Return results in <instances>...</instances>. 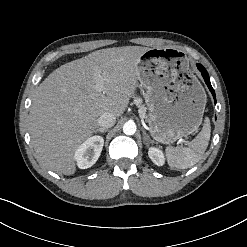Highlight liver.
I'll return each instance as SVG.
<instances>
[{
  "label": "liver",
  "mask_w": 247,
  "mask_h": 247,
  "mask_svg": "<svg viewBox=\"0 0 247 247\" xmlns=\"http://www.w3.org/2000/svg\"><path fill=\"white\" fill-rule=\"evenodd\" d=\"M148 47L94 51L54 70L37 88L30 135L39 161L65 175L76 171L74 154L105 112L121 116L138 86L137 64ZM101 76L103 91L96 87Z\"/></svg>",
  "instance_id": "6515ba94"
}]
</instances>
